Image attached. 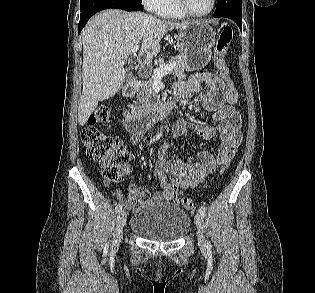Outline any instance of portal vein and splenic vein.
<instances>
[{
	"mask_svg": "<svg viewBox=\"0 0 315 293\" xmlns=\"http://www.w3.org/2000/svg\"><path fill=\"white\" fill-rule=\"evenodd\" d=\"M138 46H136L133 50H132V54L133 56L136 55V52L138 51ZM176 67V62L175 61H171L169 62L167 65L156 68L153 72V77L155 79H159L161 77H163L164 75L169 74L170 72L173 71V69Z\"/></svg>",
	"mask_w": 315,
	"mask_h": 293,
	"instance_id": "18ae733b",
	"label": "portal vein and splenic vein"
}]
</instances>
